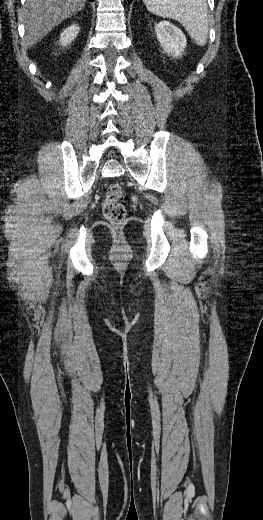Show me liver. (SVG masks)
<instances>
[{
    "instance_id": "6515ba94",
    "label": "liver",
    "mask_w": 263,
    "mask_h": 520,
    "mask_svg": "<svg viewBox=\"0 0 263 520\" xmlns=\"http://www.w3.org/2000/svg\"><path fill=\"white\" fill-rule=\"evenodd\" d=\"M86 0H26L22 9L24 45L30 47L41 41L62 21L85 7Z\"/></svg>"
}]
</instances>
